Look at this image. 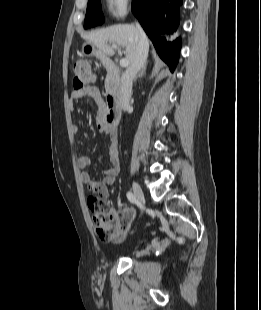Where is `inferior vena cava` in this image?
<instances>
[{"label":"inferior vena cava","mask_w":261,"mask_h":310,"mask_svg":"<svg viewBox=\"0 0 261 310\" xmlns=\"http://www.w3.org/2000/svg\"><path fill=\"white\" fill-rule=\"evenodd\" d=\"M136 28L139 31V40L136 45V51L129 67L121 77L119 103L124 111L130 107L129 103L132 94L133 80L135 79L137 73L144 67L148 53L147 37L138 23L136 24Z\"/></svg>","instance_id":"obj_1"}]
</instances>
